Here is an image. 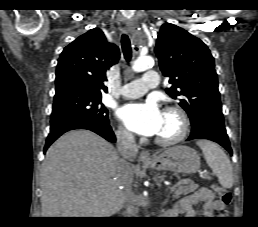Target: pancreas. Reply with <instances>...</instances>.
Instances as JSON below:
<instances>
[{"instance_id":"pancreas-1","label":"pancreas","mask_w":258,"mask_h":227,"mask_svg":"<svg viewBox=\"0 0 258 227\" xmlns=\"http://www.w3.org/2000/svg\"><path fill=\"white\" fill-rule=\"evenodd\" d=\"M199 188L198 184H194V183H189L187 185H181L178 188L174 189V198H179L181 195H186L189 194L191 192H194L195 190H197Z\"/></svg>"}]
</instances>
